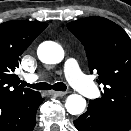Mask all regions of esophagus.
<instances>
[{"instance_id":"1","label":"esophagus","mask_w":131,"mask_h":131,"mask_svg":"<svg viewBox=\"0 0 131 131\" xmlns=\"http://www.w3.org/2000/svg\"><path fill=\"white\" fill-rule=\"evenodd\" d=\"M51 94L55 97H60V96H64L67 94L66 91H52Z\"/></svg>"}]
</instances>
